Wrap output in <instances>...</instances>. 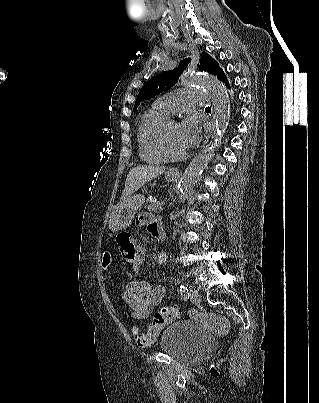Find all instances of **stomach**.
I'll list each match as a JSON object with an SVG mask.
<instances>
[{
	"label": "stomach",
	"instance_id": "1",
	"mask_svg": "<svg viewBox=\"0 0 319 403\" xmlns=\"http://www.w3.org/2000/svg\"><path fill=\"white\" fill-rule=\"evenodd\" d=\"M165 177L168 182H172L177 178L176 175L170 173H167ZM144 202V195L138 194L116 205L109 218V228L113 232L127 228L132 223L137 210L142 207Z\"/></svg>",
	"mask_w": 319,
	"mask_h": 403
}]
</instances>
